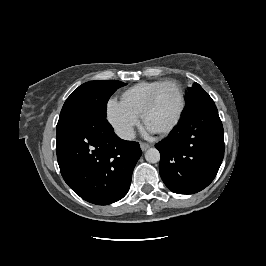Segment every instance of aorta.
<instances>
[{
  "instance_id": "aorta-1",
  "label": "aorta",
  "mask_w": 266,
  "mask_h": 266,
  "mask_svg": "<svg viewBox=\"0 0 266 266\" xmlns=\"http://www.w3.org/2000/svg\"><path fill=\"white\" fill-rule=\"evenodd\" d=\"M145 159L149 163H157L160 161V153L156 148H150L145 153Z\"/></svg>"
}]
</instances>
